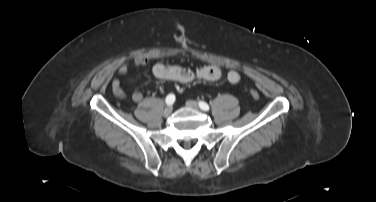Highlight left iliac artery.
I'll list each match as a JSON object with an SVG mask.
<instances>
[{"mask_svg":"<svg viewBox=\"0 0 376 202\" xmlns=\"http://www.w3.org/2000/svg\"><path fill=\"white\" fill-rule=\"evenodd\" d=\"M199 107L204 111H208L210 109L209 105L204 101L199 102Z\"/></svg>","mask_w":376,"mask_h":202,"instance_id":"44dca946","label":"left iliac artery"}]
</instances>
